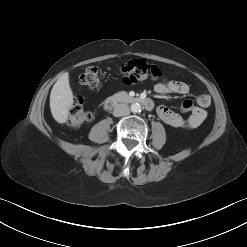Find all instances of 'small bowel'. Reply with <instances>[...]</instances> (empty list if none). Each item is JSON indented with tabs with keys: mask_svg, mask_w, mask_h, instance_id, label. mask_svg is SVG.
<instances>
[{
	"mask_svg": "<svg viewBox=\"0 0 247 247\" xmlns=\"http://www.w3.org/2000/svg\"><path fill=\"white\" fill-rule=\"evenodd\" d=\"M154 91L157 94L177 93L186 95L190 91V87L187 83L182 81H169L166 83H157L154 86ZM197 106L192 109L188 118H183L178 113L172 111L166 106H159L156 109L159 118L172 127L177 128H197L200 126L207 117L206 108L211 104V98L209 95L202 94L196 99Z\"/></svg>",
	"mask_w": 247,
	"mask_h": 247,
	"instance_id": "small-bowel-1",
	"label": "small bowel"
}]
</instances>
